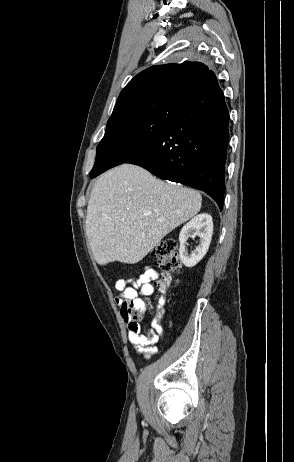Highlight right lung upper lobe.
Here are the masks:
<instances>
[{
    "label": "right lung upper lobe",
    "instance_id": "cb5924a9",
    "mask_svg": "<svg viewBox=\"0 0 294 462\" xmlns=\"http://www.w3.org/2000/svg\"><path fill=\"white\" fill-rule=\"evenodd\" d=\"M215 82V73L201 62L155 65L137 74L127 84L117 99L113 113L160 95L196 94Z\"/></svg>",
    "mask_w": 294,
    "mask_h": 462
}]
</instances>
